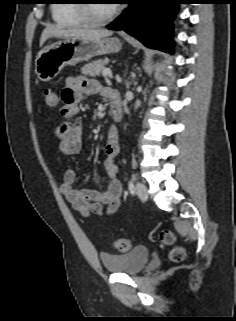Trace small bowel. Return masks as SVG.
Instances as JSON below:
<instances>
[{
	"label": "small bowel",
	"instance_id": "small-bowel-1",
	"mask_svg": "<svg viewBox=\"0 0 236 321\" xmlns=\"http://www.w3.org/2000/svg\"><path fill=\"white\" fill-rule=\"evenodd\" d=\"M101 94L111 98L117 93L103 88L97 81L81 76H70L61 92L63 106L60 110L63 121L53 130L55 138L59 141L58 153L61 156H73L82 148V127L77 121L79 105L86 96ZM119 153V132L111 127L107 134L105 157L103 160V173L107 177V186L103 190L78 188L75 186L77 172L68 169L64 173V181L60 187L72 207L84 216H110L120 205L122 186L117 178ZM104 206L107 209L104 210Z\"/></svg>",
	"mask_w": 236,
	"mask_h": 321
}]
</instances>
